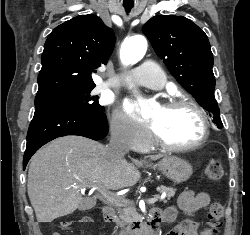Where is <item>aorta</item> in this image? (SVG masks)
Returning <instances> with one entry per match:
<instances>
[{
	"label": "aorta",
	"instance_id": "1",
	"mask_svg": "<svg viewBox=\"0 0 250 235\" xmlns=\"http://www.w3.org/2000/svg\"><path fill=\"white\" fill-rule=\"evenodd\" d=\"M147 41L144 38H132L121 47V56L127 63L139 61L146 53Z\"/></svg>",
	"mask_w": 250,
	"mask_h": 235
}]
</instances>
